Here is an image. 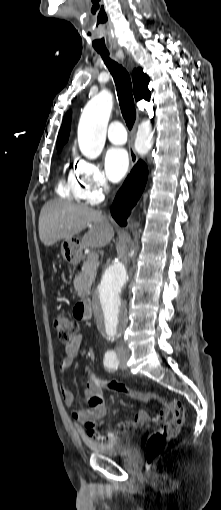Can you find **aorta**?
Instances as JSON below:
<instances>
[{
    "label": "aorta",
    "instance_id": "762f6f07",
    "mask_svg": "<svg viewBox=\"0 0 221 510\" xmlns=\"http://www.w3.org/2000/svg\"><path fill=\"white\" fill-rule=\"evenodd\" d=\"M112 95L100 92L85 106L78 125V144L81 153L89 159L97 158L104 147L106 130L112 111ZM152 146L151 125L143 123L137 133L136 150L145 154ZM134 251L131 252V256ZM127 274L122 262H114L104 271L93 295L94 312L101 330L109 339H115L126 324V307L122 291Z\"/></svg>",
    "mask_w": 221,
    "mask_h": 510
}]
</instances>
